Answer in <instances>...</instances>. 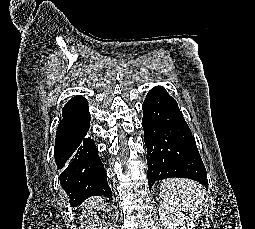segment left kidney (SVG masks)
Masks as SVG:
<instances>
[{
  "label": "left kidney",
  "instance_id": "5707ae66",
  "mask_svg": "<svg viewBox=\"0 0 255 229\" xmlns=\"http://www.w3.org/2000/svg\"><path fill=\"white\" fill-rule=\"evenodd\" d=\"M159 217L164 229H195V224L188 216L167 203L160 204Z\"/></svg>",
  "mask_w": 255,
  "mask_h": 229
}]
</instances>
